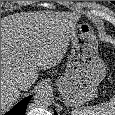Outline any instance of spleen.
I'll list each match as a JSON object with an SVG mask.
<instances>
[{
	"label": "spleen",
	"mask_w": 115,
	"mask_h": 115,
	"mask_svg": "<svg viewBox=\"0 0 115 115\" xmlns=\"http://www.w3.org/2000/svg\"><path fill=\"white\" fill-rule=\"evenodd\" d=\"M72 115H115V96L109 102L96 106H88L84 109H74Z\"/></svg>",
	"instance_id": "3e777b00"
}]
</instances>
